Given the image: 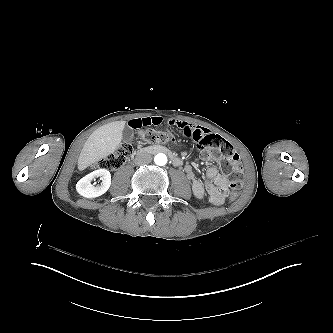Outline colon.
<instances>
[{
  "instance_id": "5ec220e1",
  "label": "colon",
  "mask_w": 333,
  "mask_h": 333,
  "mask_svg": "<svg viewBox=\"0 0 333 333\" xmlns=\"http://www.w3.org/2000/svg\"><path fill=\"white\" fill-rule=\"evenodd\" d=\"M182 130L189 138L192 137L196 141V149L200 152L211 148L214 152H220L225 161L222 162L223 171L231 175L230 199L234 200L238 197V191L242 184V164L240 157L233 146L219 135L206 133L202 128L195 129L190 122L182 123ZM140 139L148 146H161L170 142H174L175 137L169 131H153L146 129L142 132H137ZM133 153L131 144L124 143L115 152L103 158L98 168L101 169H116L120 166V159H129Z\"/></svg>"
}]
</instances>
